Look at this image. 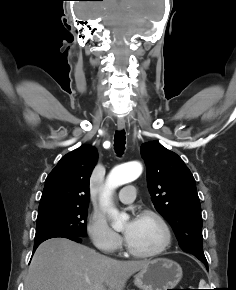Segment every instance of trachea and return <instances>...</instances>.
I'll list each match as a JSON object with an SVG mask.
<instances>
[{"label": "trachea", "mask_w": 236, "mask_h": 290, "mask_svg": "<svg viewBox=\"0 0 236 290\" xmlns=\"http://www.w3.org/2000/svg\"><path fill=\"white\" fill-rule=\"evenodd\" d=\"M125 131H118L115 133L114 137V149L117 155L121 156L125 150Z\"/></svg>", "instance_id": "trachea-1"}]
</instances>
